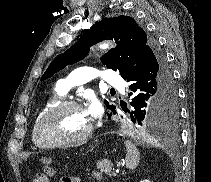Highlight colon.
I'll return each instance as SVG.
<instances>
[{
	"instance_id": "colon-1",
	"label": "colon",
	"mask_w": 211,
	"mask_h": 182,
	"mask_svg": "<svg viewBox=\"0 0 211 182\" xmlns=\"http://www.w3.org/2000/svg\"><path fill=\"white\" fill-rule=\"evenodd\" d=\"M43 172H44L43 174H38L35 177L34 182H46L47 178L52 177L54 175V169L51 166H44ZM95 177L99 179L100 175L96 173Z\"/></svg>"
}]
</instances>
